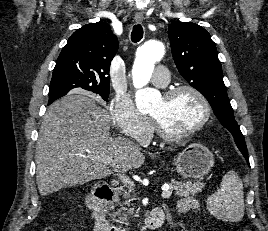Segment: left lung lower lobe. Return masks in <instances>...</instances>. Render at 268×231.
<instances>
[{"instance_id":"1","label":"left lung lower lobe","mask_w":268,"mask_h":231,"mask_svg":"<svg viewBox=\"0 0 268 231\" xmlns=\"http://www.w3.org/2000/svg\"><path fill=\"white\" fill-rule=\"evenodd\" d=\"M241 153L243 154V156L245 157L246 161L248 162V165L250 166L247 152H241Z\"/></svg>"}]
</instances>
